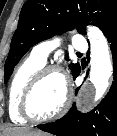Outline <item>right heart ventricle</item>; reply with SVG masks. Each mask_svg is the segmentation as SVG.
<instances>
[{
	"label": "right heart ventricle",
	"instance_id": "1",
	"mask_svg": "<svg viewBox=\"0 0 117 136\" xmlns=\"http://www.w3.org/2000/svg\"><path fill=\"white\" fill-rule=\"evenodd\" d=\"M44 65L45 62L38 60L31 54L15 70L8 89V112L13 122L20 124L27 122L19 113L21 95L32 76Z\"/></svg>",
	"mask_w": 117,
	"mask_h": 136
}]
</instances>
